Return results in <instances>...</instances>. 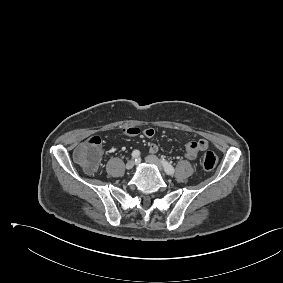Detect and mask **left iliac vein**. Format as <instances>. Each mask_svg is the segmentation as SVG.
<instances>
[{
	"label": "left iliac vein",
	"mask_w": 283,
	"mask_h": 283,
	"mask_svg": "<svg viewBox=\"0 0 283 283\" xmlns=\"http://www.w3.org/2000/svg\"><path fill=\"white\" fill-rule=\"evenodd\" d=\"M145 159H146V162H148L149 164H152V165L156 166L158 169L162 170L161 162L159 161V159L156 156L149 155Z\"/></svg>",
	"instance_id": "1"
}]
</instances>
